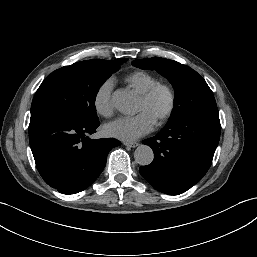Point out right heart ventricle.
<instances>
[{
  "mask_svg": "<svg viewBox=\"0 0 257 257\" xmlns=\"http://www.w3.org/2000/svg\"><path fill=\"white\" fill-rule=\"evenodd\" d=\"M125 83L129 88L134 90L138 95H141L153 85L158 83V80L152 74L145 71H136L124 78Z\"/></svg>",
  "mask_w": 257,
  "mask_h": 257,
  "instance_id": "obj_1",
  "label": "right heart ventricle"
}]
</instances>
